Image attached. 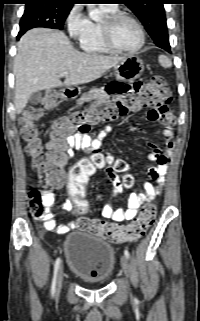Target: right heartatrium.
Instances as JSON below:
<instances>
[{"instance_id":"1","label":"right heart atrium","mask_w":200,"mask_h":321,"mask_svg":"<svg viewBox=\"0 0 200 321\" xmlns=\"http://www.w3.org/2000/svg\"><path fill=\"white\" fill-rule=\"evenodd\" d=\"M90 20L83 13L81 6L74 5L66 16V27L72 38H79L87 31Z\"/></svg>"}]
</instances>
